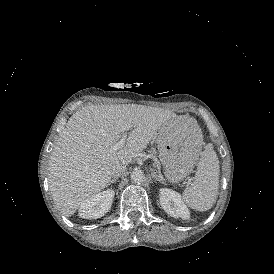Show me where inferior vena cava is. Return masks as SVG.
Listing matches in <instances>:
<instances>
[{
  "label": "inferior vena cava",
  "instance_id": "602c4592",
  "mask_svg": "<svg viewBox=\"0 0 274 274\" xmlns=\"http://www.w3.org/2000/svg\"><path fill=\"white\" fill-rule=\"evenodd\" d=\"M126 171V165L119 164L113 170V178H118L122 176Z\"/></svg>",
  "mask_w": 274,
  "mask_h": 274
}]
</instances>
